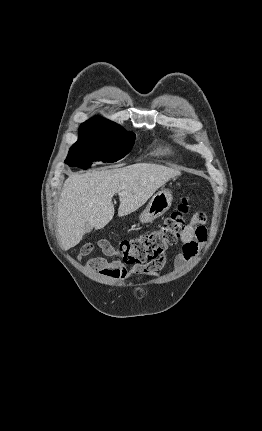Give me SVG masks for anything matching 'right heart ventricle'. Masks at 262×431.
<instances>
[{
  "mask_svg": "<svg viewBox=\"0 0 262 431\" xmlns=\"http://www.w3.org/2000/svg\"><path fill=\"white\" fill-rule=\"evenodd\" d=\"M158 152L161 155H171L172 154V150L169 147H160L158 149Z\"/></svg>",
  "mask_w": 262,
  "mask_h": 431,
  "instance_id": "right-heart-ventricle-1",
  "label": "right heart ventricle"
}]
</instances>
